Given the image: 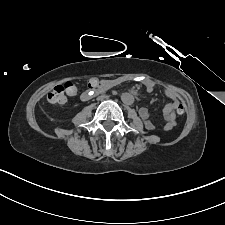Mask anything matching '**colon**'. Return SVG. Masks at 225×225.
I'll return each mask as SVG.
<instances>
[{
    "instance_id": "5ec220e1",
    "label": "colon",
    "mask_w": 225,
    "mask_h": 225,
    "mask_svg": "<svg viewBox=\"0 0 225 225\" xmlns=\"http://www.w3.org/2000/svg\"><path fill=\"white\" fill-rule=\"evenodd\" d=\"M97 82L96 81H91L89 80L88 85L92 86L95 85ZM105 84V83H104ZM80 91V86L79 84L75 82H66L62 85L56 86L48 95V101L50 103H63L66 100V95L68 96H76ZM176 112L177 114L181 115L184 113V106L182 104H179L176 107Z\"/></svg>"
}]
</instances>
